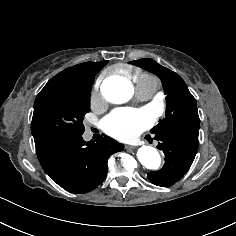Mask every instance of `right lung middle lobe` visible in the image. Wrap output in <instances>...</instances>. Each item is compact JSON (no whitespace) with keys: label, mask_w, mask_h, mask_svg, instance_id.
<instances>
[{"label":"right lung middle lobe","mask_w":236,"mask_h":236,"mask_svg":"<svg viewBox=\"0 0 236 236\" xmlns=\"http://www.w3.org/2000/svg\"><path fill=\"white\" fill-rule=\"evenodd\" d=\"M91 89H42L34 102L31 132L34 140L53 135H81L90 111Z\"/></svg>","instance_id":"dd1d6c3e"}]
</instances>
